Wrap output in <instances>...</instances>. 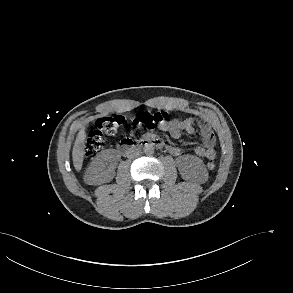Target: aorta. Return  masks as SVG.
Listing matches in <instances>:
<instances>
[{
    "mask_svg": "<svg viewBox=\"0 0 293 293\" xmlns=\"http://www.w3.org/2000/svg\"><path fill=\"white\" fill-rule=\"evenodd\" d=\"M154 150H155V148H154V146L151 145V144H147V145H145L144 148H143V151H144V153H145L146 155H152V154H154Z\"/></svg>",
    "mask_w": 293,
    "mask_h": 293,
    "instance_id": "1",
    "label": "aorta"
}]
</instances>
